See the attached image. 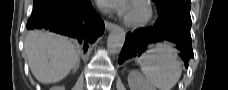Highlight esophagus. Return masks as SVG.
I'll return each mask as SVG.
<instances>
[{
    "mask_svg": "<svg viewBox=\"0 0 228 90\" xmlns=\"http://www.w3.org/2000/svg\"><path fill=\"white\" fill-rule=\"evenodd\" d=\"M105 27H106V29H107L108 31H111V30H113V29H116V28H117V25L114 24V23H111V22L106 21Z\"/></svg>",
    "mask_w": 228,
    "mask_h": 90,
    "instance_id": "1",
    "label": "esophagus"
}]
</instances>
